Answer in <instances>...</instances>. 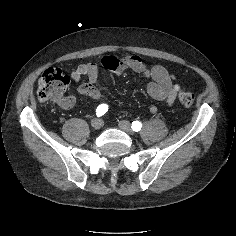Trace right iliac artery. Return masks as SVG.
Here are the masks:
<instances>
[{
    "label": "right iliac artery",
    "instance_id": "obj_1",
    "mask_svg": "<svg viewBox=\"0 0 236 236\" xmlns=\"http://www.w3.org/2000/svg\"><path fill=\"white\" fill-rule=\"evenodd\" d=\"M108 111V106L106 104H101L96 109V115L98 117L103 116Z\"/></svg>",
    "mask_w": 236,
    "mask_h": 236
}]
</instances>
